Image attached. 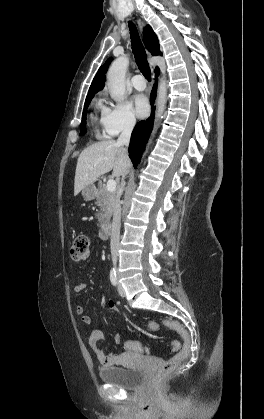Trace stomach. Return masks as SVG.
<instances>
[{"instance_id":"stomach-1","label":"stomach","mask_w":264,"mask_h":419,"mask_svg":"<svg viewBox=\"0 0 264 419\" xmlns=\"http://www.w3.org/2000/svg\"><path fill=\"white\" fill-rule=\"evenodd\" d=\"M82 196H83L85 201H91V200L95 199L96 196H97L96 187L93 184L85 187L82 190Z\"/></svg>"}]
</instances>
